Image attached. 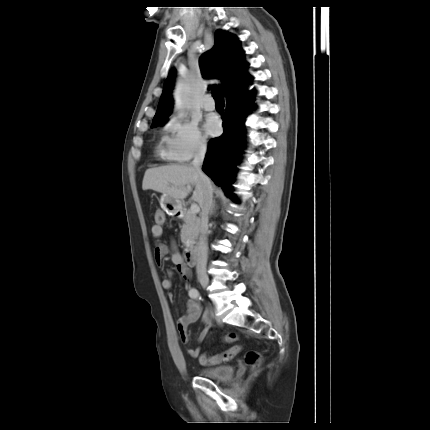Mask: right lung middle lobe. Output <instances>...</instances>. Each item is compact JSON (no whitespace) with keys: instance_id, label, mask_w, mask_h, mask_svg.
<instances>
[{"instance_id":"right-lung-middle-lobe-1","label":"right lung middle lobe","mask_w":430,"mask_h":430,"mask_svg":"<svg viewBox=\"0 0 430 430\" xmlns=\"http://www.w3.org/2000/svg\"><path fill=\"white\" fill-rule=\"evenodd\" d=\"M161 124H164V122H161ZM154 125H156V123Z\"/></svg>"}]
</instances>
